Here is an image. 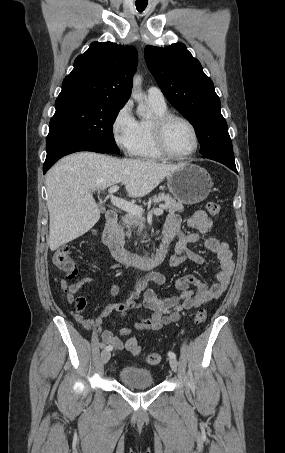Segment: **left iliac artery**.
<instances>
[{
	"instance_id": "44dca946",
	"label": "left iliac artery",
	"mask_w": 285,
	"mask_h": 453,
	"mask_svg": "<svg viewBox=\"0 0 285 453\" xmlns=\"http://www.w3.org/2000/svg\"><path fill=\"white\" fill-rule=\"evenodd\" d=\"M168 356H169L170 358H176V354H175L174 352H172V351H169V352H168Z\"/></svg>"
}]
</instances>
